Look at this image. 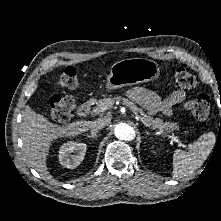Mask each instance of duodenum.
I'll return each mask as SVG.
<instances>
[{"label":"duodenum","instance_id":"duodenum-1","mask_svg":"<svg viewBox=\"0 0 221 221\" xmlns=\"http://www.w3.org/2000/svg\"><path fill=\"white\" fill-rule=\"evenodd\" d=\"M92 106H93L92 100H88V101L82 103L77 110V116L79 118H84V117L88 116L89 113L91 112Z\"/></svg>","mask_w":221,"mask_h":221}]
</instances>
